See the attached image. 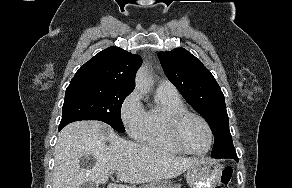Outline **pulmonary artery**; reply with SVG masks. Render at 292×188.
I'll return each instance as SVG.
<instances>
[{
  "instance_id": "e3ab8cb5",
  "label": "pulmonary artery",
  "mask_w": 292,
  "mask_h": 188,
  "mask_svg": "<svg viewBox=\"0 0 292 188\" xmlns=\"http://www.w3.org/2000/svg\"><path fill=\"white\" fill-rule=\"evenodd\" d=\"M157 91L177 95L178 91L176 87L168 80L161 81L157 86Z\"/></svg>"
}]
</instances>
